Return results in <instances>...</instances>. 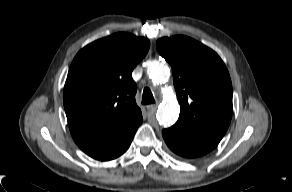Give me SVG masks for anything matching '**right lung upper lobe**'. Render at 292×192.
<instances>
[{
    "label": "right lung upper lobe",
    "mask_w": 292,
    "mask_h": 192,
    "mask_svg": "<svg viewBox=\"0 0 292 192\" xmlns=\"http://www.w3.org/2000/svg\"><path fill=\"white\" fill-rule=\"evenodd\" d=\"M147 38L120 32L75 56L64 86V108L74 140L124 133L142 122L132 71L145 57Z\"/></svg>",
    "instance_id": "obj_1"
}]
</instances>
